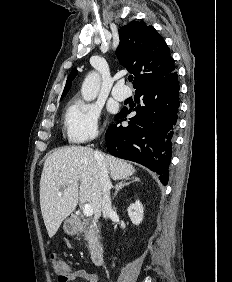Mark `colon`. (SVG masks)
<instances>
[{
	"mask_svg": "<svg viewBox=\"0 0 232 282\" xmlns=\"http://www.w3.org/2000/svg\"><path fill=\"white\" fill-rule=\"evenodd\" d=\"M49 261L53 273L58 278L59 282H65L67 279V267L65 263L55 253L50 254Z\"/></svg>",
	"mask_w": 232,
	"mask_h": 282,
	"instance_id": "obj_1",
	"label": "colon"
}]
</instances>
